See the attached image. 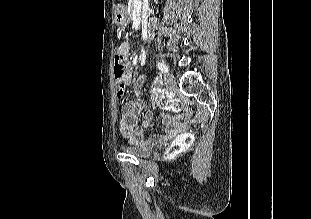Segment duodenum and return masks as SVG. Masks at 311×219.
I'll return each mask as SVG.
<instances>
[{
	"label": "duodenum",
	"mask_w": 311,
	"mask_h": 219,
	"mask_svg": "<svg viewBox=\"0 0 311 219\" xmlns=\"http://www.w3.org/2000/svg\"><path fill=\"white\" fill-rule=\"evenodd\" d=\"M147 28H148V39H150L155 31V23L153 21L149 22Z\"/></svg>",
	"instance_id": "410a0bca"
}]
</instances>
